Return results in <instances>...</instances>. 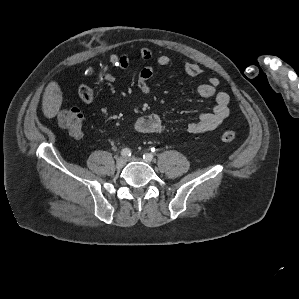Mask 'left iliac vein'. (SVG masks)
Here are the masks:
<instances>
[{
  "label": "left iliac vein",
  "mask_w": 299,
  "mask_h": 299,
  "mask_svg": "<svg viewBox=\"0 0 299 299\" xmlns=\"http://www.w3.org/2000/svg\"><path fill=\"white\" fill-rule=\"evenodd\" d=\"M127 161H141V159L137 158V157H130V158H127ZM146 162L149 163L150 161H146Z\"/></svg>",
  "instance_id": "obj_1"
}]
</instances>
